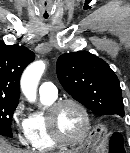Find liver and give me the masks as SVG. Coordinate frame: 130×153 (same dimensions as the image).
<instances>
[{
  "mask_svg": "<svg viewBox=\"0 0 130 153\" xmlns=\"http://www.w3.org/2000/svg\"><path fill=\"white\" fill-rule=\"evenodd\" d=\"M0 153H29L28 151L16 149L12 147L7 141L0 137Z\"/></svg>",
  "mask_w": 130,
  "mask_h": 153,
  "instance_id": "6515ba94",
  "label": "liver"
}]
</instances>
